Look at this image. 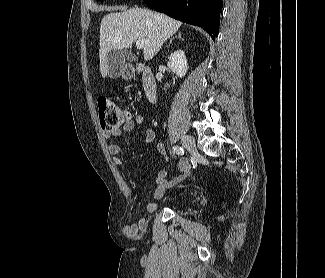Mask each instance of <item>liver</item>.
I'll list each match as a JSON object with an SVG mask.
<instances>
[{
  "instance_id": "6515ba94",
  "label": "liver",
  "mask_w": 325,
  "mask_h": 278,
  "mask_svg": "<svg viewBox=\"0 0 325 278\" xmlns=\"http://www.w3.org/2000/svg\"><path fill=\"white\" fill-rule=\"evenodd\" d=\"M121 12L109 13L103 17L100 25V72L103 78L108 74L107 57L111 50L131 48L135 40H143L144 60L152 59L163 43L181 26V22L163 13L148 9L121 7Z\"/></svg>"
}]
</instances>
